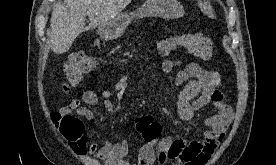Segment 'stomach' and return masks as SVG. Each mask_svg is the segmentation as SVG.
Segmentation results:
<instances>
[{
	"label": "stomach",
	"mask_w": 276,
	"mask_h": 165,
	"mask_svg": "<svg viewBox=\"0 0 276 165\" xmlns=\"http://www.w3.org/2000/svg\"><path fill=\"white\" fill-rule=\"evenodd\" d=\"M183 6L177 0H147L134 12L120 13L115 18L99 27L102 39L113 40L122 35L134 18L161 17L178 19L184 15Z\"/></svg>",
	"instance_id": "obj_1"
}]
</instances>
